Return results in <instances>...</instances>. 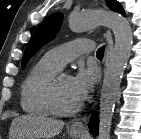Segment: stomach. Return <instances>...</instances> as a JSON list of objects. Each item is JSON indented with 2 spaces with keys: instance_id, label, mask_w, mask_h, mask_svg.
Listing matches in <instances>:
<instances>
[{
  "instance_id": "0dacf381",
  "label": "stomach",
  "mask_w": 141,
  "mask_h": 139,
  "mask_svg": "<svg viewBox=\"0 0 141 139\" xmlns=\"http://www.w3.org/2000/svg\"><path fill=\"white\" fill-rule=\"evenodd\" d=\"M70 135L74 138H77L80 136V133H74V132H71Z\"/></svg>"
}]
</instances>
